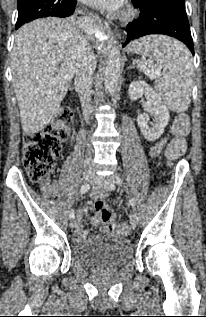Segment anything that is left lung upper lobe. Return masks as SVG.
<instances>
[{
    "mask_svg": "<svg viewBox=\"0 0 206 317\" xmlns=\"http://www.w3.org/2000/svg\"><path fill=\"white\" fill-rule=\"evenodd\" d=\"M134 6L142 5L145 3H160L169 4L185 8V0H131Z\"/></svg>",
    "mask_w": 206,
    "mask_h": 317,
    "instance_id": "1",
    "label": "left lung upper lobe"
}]
</instances>
